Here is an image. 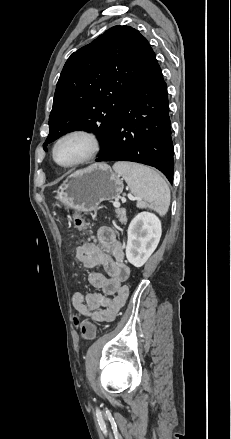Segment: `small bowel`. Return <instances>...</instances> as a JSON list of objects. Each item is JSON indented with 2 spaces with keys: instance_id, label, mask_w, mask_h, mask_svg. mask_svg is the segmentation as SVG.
Segmentation results:
<instances>
[{
  "instance_id": "small-bowel-1",
  "label": "small bowel",
  "mask_w": 231,
  "mask_h": 439,
  "mask_svg": "<svg viewBox=\"0 0 231 439\" xmlns=\"http://www.w3.org/2000/svg\"><path fill=\"white\" fill-rule=\"evenodd\" d=\"M82 255L87 257L83 265L85 268L103 269V272L91 271L88 274L89 283L100 292H75L72 305L79 314L91 321H113L129 296L128 287L123 285L130 275L123 246L115 231L103 226L98 229L95 241L85 242L78 247L76 258Z\"/></svg>"
}]
</instances>
